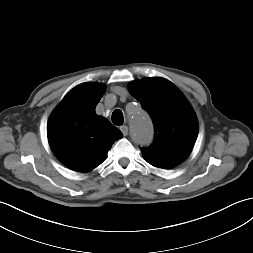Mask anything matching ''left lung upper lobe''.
I'll list each match as a JSON object with an SVG mask.
<instances>
[{
    "mask_svg": "<svg viewBox=\"0 0 253 253\" xmlns=\"http://www.w3.org/2000/svg\"><path fill=\"white\" fill-rule=\"evenodd\" d=\"M128 89L148 111L155 128L154 142L141 149L144 160L163 169L180 164L190 154L198 134L196 115L185 96L161 77L132 81Z\"/></svg>",
    "mask_w": 253,
    "mask_h": 253,
    "instance_id": "left-lung-upper-lobe-1",
    "label": "left lung upper lobe"
}]
</instances>
